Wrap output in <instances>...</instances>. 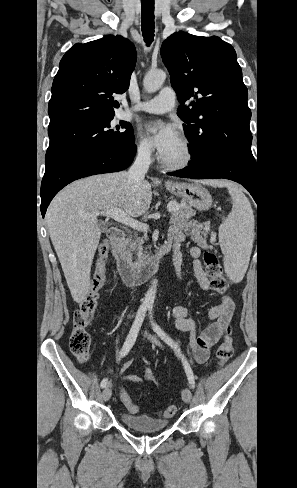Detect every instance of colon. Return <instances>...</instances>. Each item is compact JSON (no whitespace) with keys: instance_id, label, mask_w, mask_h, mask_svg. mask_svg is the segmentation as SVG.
Segmentation results:
<instances>
[{"instance_id":"obj_1","label":"colon","mask_w":297,"mask_h":488,"mask_svg":"<svg viewBox=\"0 0 297 488\" xmlns=\"http://www.w3.org/2000/svg\"><path fill=\"white\" fill-rule=\"evenodd\" d=\"M108 253L109 245L107 243L100 244L97 250V260L91 286L73 315V331L70 336V350L80 363H85L89 358L91 337L88 327L97 309L100 291L105 282V260ZM204 264L212 288L219 293L225 292L228 288V283L224 277L223 269L217 256L211 252H205ZM230 334L231 329L229 326H226L224 328V340L216 350V358L220 366L225 364L231 358L233 353ZM118 395L120 401L125 405L129 412L137 413L139 411V407L132 402L125 389H119ZM176 412L177 407L175 405H170L161 413V415L170 418L174 416Z\"/></svg>"}]
</instances>
